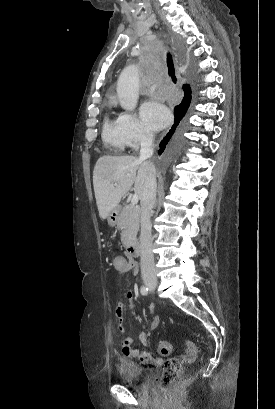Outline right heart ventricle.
Returning a JSON list of instances; mask_svg holds the SVG:
<instances>
[{
    "label": "right heart ventricle",
    "mask_w": 275,
    "mask_h": 409,
    "mask_svg": "<svg viewBox=\"0 0 275 409\" xmlns=\"http://www.w3.org/2000/svg\"><path fill=\"white\" fill-rule=\"evenodd\" d=\"M103 140L112 154H122L125 151L126 142L118 120L111 121L106 118L102 132Z\"/></svg>",
    "instance_id": "obj_1"
}]
</instances>
